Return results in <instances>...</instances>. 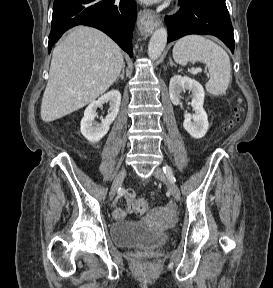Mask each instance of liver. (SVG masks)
<instances>
[{
    "label": "liver",
    "instance_id": "liver-1",
    "mask_svg": "<svg viewBox=\"0 0 273 288\" xmlns=\"http://www.w3.org/2000/svg\"><path fill=\"white\" fill-rule=\"evenodd\" d=\"M124 65L120 47L103 32L72 29L53 50L41 118L52 122L95 101L115 82Z\"/></svg>",
    "mask_w": 273,
    "mask_h": 288
}]
</instances>
